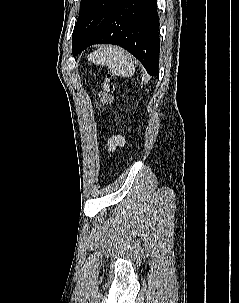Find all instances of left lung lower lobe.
Returning a JSON list of instances; mask_svg holds the SVG:
<instances>
[{"instance_id":"0a47b994","label":"left lung lower lobe","mask_w":239,"mask_h":303,"mask_svg":"<svg viewBox=\"0 0 239 303\" xmlns=\"http://www.w3.org/2000/svg\"><path fill=\"white\" fill-rule=\"evenodd\" d=\"M156 0H117L80 45L116 44L133 54L152 76H159V17Z\"/></svg>"}]
</instances>
